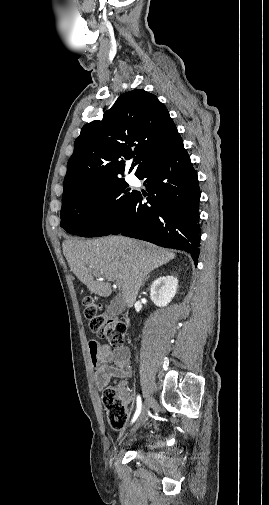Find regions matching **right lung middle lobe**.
I'll list each match as a JSON object with an SVG mask.
<instances>
[{
  "label": "right lung middle lobe",
  "instance_id": "1",
  "mask_svg": "<svg viewBox=\"0 0 269 505\" xmlns=\"http://www.w3.org/2000/svg\"><path fill=\"white\" fill-rule=\"evenodd\" d=\"M123 179L83 190L62 202L60 226L83 237L109 235L122 221L136 191Z\"/></svg>",
  "mask_w": 269,
  "mask_h": 505
}]
</instances>
